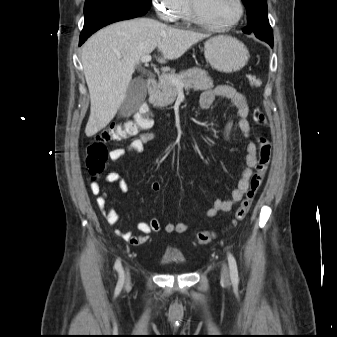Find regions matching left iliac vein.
I'll return each instance as SVG.
<instances>
[{
    "instance_id": "4c4485c4",
    "label": "left iliac vein",
    "mask_w": 337,
    "mask_h": 337,
    "mask_svg": "<svg viewBox=\"0 0 337 337\" xmlns=\"http://www.w3.org/2000/svg\"><path fill=\"white\" fill-rule=\"evenodd\" d=\"M221 279L225 284H228L229 280H230L229 279V270H228V267L225 264H223V266H222Z\"/></svg>"
}]
</instances>
